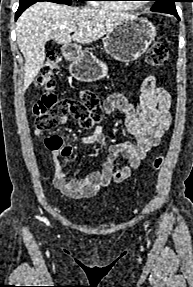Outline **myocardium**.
I'll list each match as a JSON object with an SVG mask.
<instances>
[{"label": "myocardium", "mask_w": 193, "mask_h": 287, "mask_svg": "<svg viewBox=\"0 0 193 287\" xmlns=\"http://www.w3.org/2000/svg\"><path fill=\"white\" fill-rule=\"evenodd\" d=\"M132 7H133V8H138V7H139V5H132Z\"/></svg>", "instance_id": "myocardium-1"}]
</instances>
